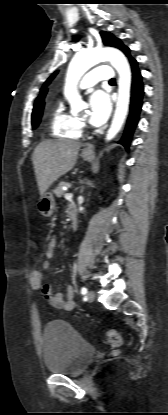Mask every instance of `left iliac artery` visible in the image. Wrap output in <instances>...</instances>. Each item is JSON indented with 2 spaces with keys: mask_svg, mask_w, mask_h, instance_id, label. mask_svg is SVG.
Masks as SVG:
<instances>
[{
  "mask_svg": "<svg viewBox=\"0 0 168 415\" xmlns=\"http://www.w3.org/2000/svg\"><path fill=\"white\" fill-rule=\"evenodd\" d=\"M81 294L82 295H86L87 294V288L86 287H82L81 288Z\"/></svg>",
  "mask_w": 168,
  "mask_h": 415,
  "instance_id": "left-iliac-artery-1",
  "label": "left iliac artery"
}]
</instances>
